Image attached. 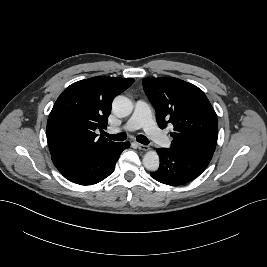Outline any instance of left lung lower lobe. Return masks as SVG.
<instances>
[{"label":"left lung lower lobe","instance_id":"1","mask_svg":"<svg viewBox=\"0 0 267 267\" xmlns=\"http://www.w3.org/2000/svg\"><path fill=\"white\" fill-rule=\"evenodd\" d=\"M160 168L151 174L155 180L172 186L186 184L197 178L208 166L211 158L176 149L158 148Z\"/></svg>","mask_w":267,"mask_h":267}]
</instances>
